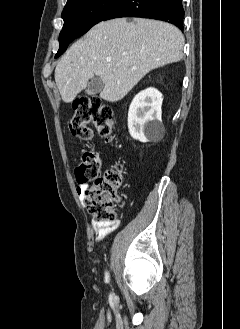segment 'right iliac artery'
I'll return each instance as SVG.
<instances>
[{"mask_svg": "<svg viewBox=\"0 0 240 329\" xmlns=\"http://www.w3.org/2000/svg\"><path fill=\"white\" fill-rule=\"evenodd\" d=\"M109 281H110L109 273L106 271V272H105V282H106V283H109Z\"/></svg>", "mask_w": 240, "mask_h": 329, "instance_id": "obj_1", "label": "right iliac artery"}]
</instances>
